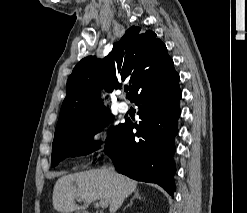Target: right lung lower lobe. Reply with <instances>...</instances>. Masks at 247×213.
Instances as JSON below:
<instances>
[{
	"label": "right lung lower lobe",
	"instance_id": "right-lung-lower-lobe-1",
	"mask_svg": "<svg viewBox=\"0 0 247 213\" xmlns=\"http://www.w3.org/2000/svg\"><path fill=\"white\" fill-rule=\"evenodd\" d=\"M180 98L179 75L171 67L134 94L131 102L140 107L141 121H126L114 145L105 151L119 173L156 183L171 196L175 191L173 155Z\"/></svg>",
	"mask_w": 247,
	"mask_h": 213
}]
</instances>
